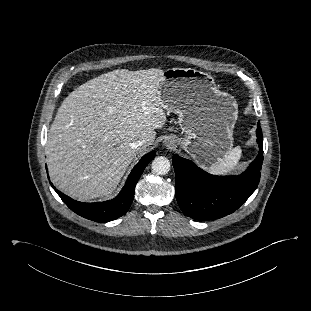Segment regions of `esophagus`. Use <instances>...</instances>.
Masks as SVG:
<instances>
[{"label": "esophagus", "mask_w": 311, "mask_h": 311, "mask_svg": "<svg viewBox=\"0 0 311 311\" xmlns=\"http://www.w3.org/2000/svg\"><path fill=\"white\" fill-rule=\"evenodd\" d=\"M164 145L168 148L172 147L173 146V141L172 140H167L164 142Z\"/></svg>", "instance_id": "esophagus-1"}]
</instances>
